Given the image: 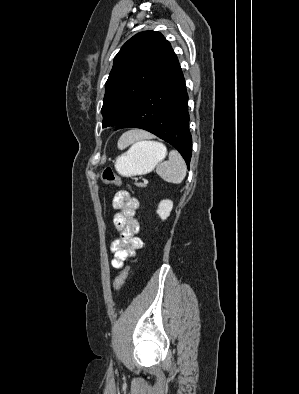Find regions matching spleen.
I'll list each match as a JSON object with an SVG mask.
<instances>
[{
  "label": "spleen",
  "mask_w": 299,
  "mask_h": 394,
  "mask_svg": "<svg viewBox=\"0 0 299 394\" xmlns=\"http://www.w3.org/2000/svg\"><path fill=\"white\" fill-rule=\"evenodd\" d=\"M142 141L136 142L135 144L132 145L130 148L131 150L133 148H136L138 144H140ZM150 142L154 145H159L162 146L164 149L165 146L161 143L158 142H152V141H147ZM128 140L126 138V134H124L120 141H119V147L124 148L128 145ZM186 164L180 153L176 150H172L169 153V160L165 161L163 163H160L157 166L156 172L163 178L165 181L173 184H179L183 181V179L186 176Z\"/></svg>",
  "instance_id": "obj_1"
}]
</instances>
